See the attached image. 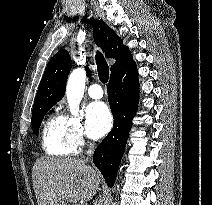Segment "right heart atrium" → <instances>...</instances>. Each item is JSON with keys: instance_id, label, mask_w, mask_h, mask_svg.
<instances>
[{"instance_id": "d8ad5b80", "label": "right heart atrium", "mask_w": 212, "mask_h": 205, "mask_svg": "<svg viewBox=\"0 0 212 205\" xmlns=\"http://www.w3.org/2000/svg\"><path fill=\"white\" fill-rule=\"evenodd\" d=\"M63 118L69 141L74 151H78L86 144L82 119L78 115H66Z\"/></svg>"}]
</instances>
